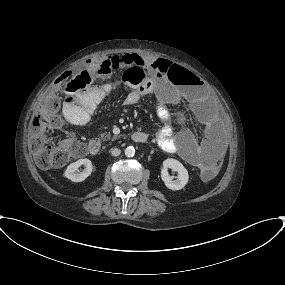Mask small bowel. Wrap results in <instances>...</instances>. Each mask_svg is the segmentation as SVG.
Instances as JSON below:
<instances>
[{"label":"small bowel","instance_id":"small-bowel-1","mask_svg":"<svg viewBox=\"0 0 285 285\" xmlns=\"http://www.w3.org/2000/svg\"><path fill=\"white\" fill-rule=\"evenodd\" d=\"M158 59L150 58L144 60L147 70L153 81L165 83L167 75L160 72L159 68L153 64ZM125 62L137 63L129 55L124 58ZM183 68V67H180ZM185 69V68H183ZM194 77L195 75L190 72ZM193 77L189 81L193 82ZM193 86V84H192ZM113 84L110 81H103L98 78L85 85L84 88L69 92L63 105L64 116L71 124H83L90 118V113L86 107L95 108L113 91ZM151 88L147 86L144 90H132L124 98L126 105H133L139 102L143 95L148 94ZM179 100L183 99L178 97ZM77 104H83L85 108H80ZM155 107L158 118L163 125L155 134L157 145L167 152H178L181 145L184 146L181 156L189 163L201 169L211 166L219 156L222 155L225 147L224 137L208 119L203 120L204 138L198 140L192 132L178 136L174 129L175 117L170 105L166 102L155 100Z\"/></svg>","mask_w":285,"mask_h":285}]
</instances>
